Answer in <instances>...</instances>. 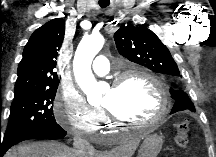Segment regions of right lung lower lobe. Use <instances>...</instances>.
<instances>
[{"mask_svg": "<svg viewBox=\"0 0 216 157\" xmlns=\"http://www.w3.org/2000/svg\"><path fill=\"white\" fill-rule=\"evenodd\" d=\"M67 134L60 126L52 127V128H44V129H36L24 133L22 135L16 136L9 140H6L0 143V157H3L6 151L13 145L24 141V140H31V139H60Z\"/></svg>", "mask_w": 216, "mask_h": 157, "instance_id": "1", "label": "right lung lower lobe"}]
</instances>
